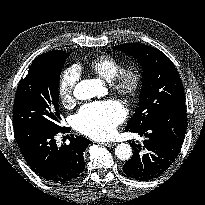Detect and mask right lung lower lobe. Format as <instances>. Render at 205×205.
Listing matches in <instances>:
<instances>
[{
    "instance_id": "right-lung-lower-lobe-1",
    "label": "right lung lower lobe",
    "mask_w": 205,
    "mask_h": 205,
    "mask_svg": "<svg viewBox=\"0 0 205 205\" xmlns=\"http://www.w3.org/2000/svg\"><path fill=\"white\" fill-rule=\"evenodd\" d=\"M67 129L40 125L14 127L18 146L26 162L36 174L50 182L71 181L85 168L83 152L91 142L80 136H71L69 145L58 147L55 135Z\"/></svg>"
}]
</instances>
